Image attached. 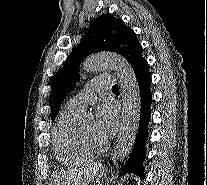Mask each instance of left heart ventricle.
Segmentation results:
<instances>
[{"label": "left heart ventricle", "mask_w": 207, "mask_h": 185, "mask_svg": "<svg viewBox=\"0 0 207 185\" xmlns=\"http://www.w3.org/2000/svg\"><path fill=\"white\" fill-rule=\"evenodd\" d=\"M82 128L88 136L94 138L98 143L105 141V139L98 134L93 121L85 123L82 125Z\"/></svg>", "instance_id": "b2bd125f"}]
</instances>
